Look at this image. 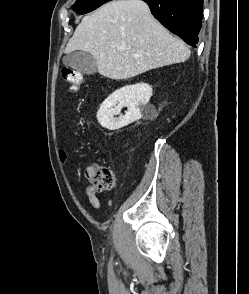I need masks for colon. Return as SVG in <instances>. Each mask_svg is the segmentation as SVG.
I'll use <instances>...</instances> for the list:
<instances>
[{"instance_id":"obj_1","label":"colon","mask_w":249,"mask_h":294,"mask_svg":"<svg viewBox=\"0 0 249 294\" xmlns=\"http://www.w3.org/2000/svg\"><path fill=\"white\" fill-rule=\"evenodd\" d=\"M62 77L73 90L78 89L84 84V75L82 72L64 67ZM85 178L90 186L100 191H110L115 187V175L113 170L107 166H98L85 171Z\"/></svg>"}]
</instances>
